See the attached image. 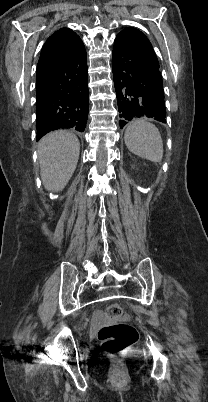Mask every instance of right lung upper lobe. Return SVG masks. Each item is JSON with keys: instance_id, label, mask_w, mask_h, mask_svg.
Returning <instances> with one entry per match:
<instances>
[{"instance_id": "right-lung-upper-lobe-1", "label": "right lung upper lobe", "mask_w": 208, "mask_h": 402, "mask_svg": "<svg viewBox=\"0 0 208 402\" xmlns=\"http://www.w3.org/2000/svg\"><path fill=\"white\" fill-rule=\"evenodd\" d=\"M72 34H74V32L71 29L61 28L47 39L43 47L61 41Z\"/></svg>"}]
</instances>
